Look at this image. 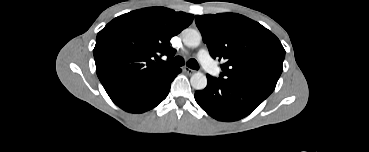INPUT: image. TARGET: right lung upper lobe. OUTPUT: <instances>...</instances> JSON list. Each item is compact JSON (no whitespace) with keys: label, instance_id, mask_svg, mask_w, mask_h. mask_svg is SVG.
<instances>
[{"label":"right lung upper lobe","instance_id":"cb5924a9","mask_svg":"<svg viewBox=\"0 0 369 152\" xmlns=\"http://www.w3.org/2000/svg\"><path fill=\"white\" fill-rule=\"evenodd\" d=\"M194 16L164 7H150L118 16L97 35L93 50L96 73L108 95L159 76L173 67L155 60L171 58L169 41L188 27Z\"/></svg>","mask_w":369,"mask_h":152}]
</instances>
